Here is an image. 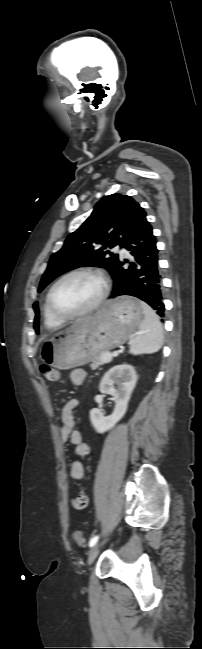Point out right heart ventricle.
Masks as SVG:
<instances>
[{"instance_id":"obj_1","label":"right heart ventricle","mask_w":202,"mask_h":649,"mask_svg":"<svg viewBox=\"0 0 202 649\" xmlns=\"http://www.w3.org/2000/svg\"><path fill=\"white\" fill-rule=\"evenodd\" d=\"M43 323L49 329L59 328L64 323V321L58 320V319H56L55 317L52 316V314L50 313V311L48 309L46 300H45V302L43 304Z\"/></svg>"}]
</instances>
